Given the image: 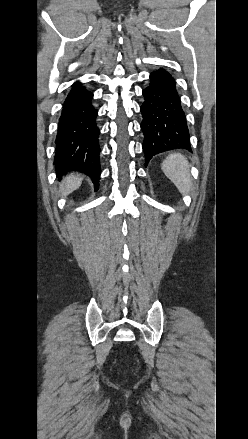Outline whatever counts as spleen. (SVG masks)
<instances>
[{
  "label": "spleen",
  "instance_id": "obj_1",
  "mask_svg": "<svg viewBox=\"0 0 248 439\" xmlns=\"http://www.w3.org/2000/svg\"><path fill=\"white\" fill-rule=\"evenodd\" d=\"M161 168L182 194H189L191 189L189 163L181 153L170 154L161 164Z\"/></svg>",
  "mask_w": 248,
  "mask_h": 439
}]
</instances>
